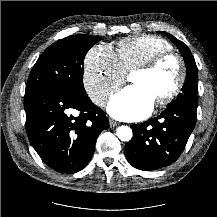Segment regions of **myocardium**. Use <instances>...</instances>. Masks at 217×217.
Listing matches in <instances>:
<instances>
[{
    "label": "myocardium",
    "instance_id": "myocardium-1",
    "mask_svg": "<svg viewBox=\"0 0 217 217\" xmlns=\"http://www.w3.org/2000/svg\"><path fill=\"white\" fill-rule=\"evenodd\" d=\"M167 62H173L176 68V79L173 88L166 95L156 99L155 103L159 106H165L171 103L181 93L185 80L186 68L182 58L175 52H165L157 55L149 62L135 68L134 72L155 73L160 70Z\"/></svg>",
    "mask_w": 217,
    "mask_h": 217
}]
</instances>
